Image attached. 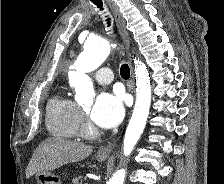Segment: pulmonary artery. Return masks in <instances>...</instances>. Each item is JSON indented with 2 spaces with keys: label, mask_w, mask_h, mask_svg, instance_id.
Returning a JSON list of instances; mask_svg holds the SVG:
<instances>
[{
  "label": "pulmonary artery",
  "mask_w": 224,
  "mask_h": 184,
  "mask_svg": "<svg viewBox=\"0 0 224 184\" xmlns=\"http://www.w3.org/2000/svg\"><path fill=\"white\" fill-rule=\"evenodd\" d=\"M96 81L100 84H109L113 81L114 76L110 69L102 68L98 70L94 75Z\"/></svg>",
  "instance_id": "obj_1"
}]
</instances>
